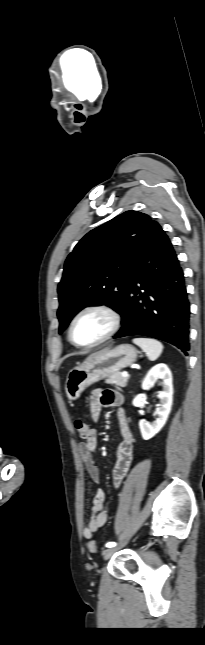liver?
<instances>
[{"label":"liver","instance_id":"obj_1","mask_svg":"<svg viewBox=\"0 0 205 645\" xmlns=\"http://www.w3.org/2000/svg\"><path fill=\"white\" fill-rule=\"evenodd\" d=\"M97 353H98V352H97ZM97 353H94V354L90 355L86 360L90 359L93 355H95V354H97Z\"/></svg>","mask_w":205,"mask_h":645}]
</instances>
